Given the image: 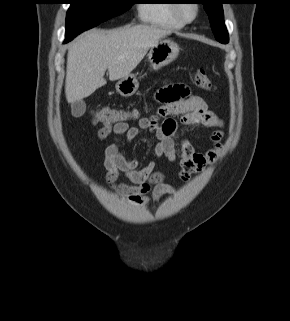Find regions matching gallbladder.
<instances>
[{
  "label": "gallbladder",
  "mask_w": 290,
  "mask_h": 321,
  "mask_svg": "<svg viewBox=\"0 0 290 321\" xmlns=\"http://www.w3.org/2000/svg\"><path fill=\"white\" fill-rule=\"evenodd\" d=\"M86 110V104L83 101H76L71 103V113L72 116L78 118L81 117Z\"/></svg>",
  "instance_id": "gallbladder-1"
}]
</instances>
